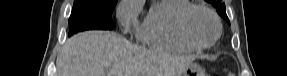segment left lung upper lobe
Listing matches in <instances>:
<instances>
[{"instance_id":"1","label":"left lung upper lobe","mask_w":287,"mask_h":76,"mask_svg":"<svg viewBox=\"0 0 287 76\" xmlns=\"http://www.w3.org/2000/svg\"><path fill=\"white\" fill-rule=\"evenodd\" d=\"M205 1L208 3H212L213 6L216 7L218 14L230 24V21L225 12V4H221L220 1L216 0H205Z\"/></svg>"}]
</instances>
